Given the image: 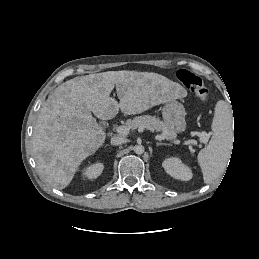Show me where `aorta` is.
<instances>
[{"label": "aorta", "instance_id": "762f6f07", "mask_svg": "<svg viewBox=\"0 0 259 259\" xmlns=\"http://www.w3.org/2000/svg\"><path fill=\"white\" fill-rule=\"evenodd\" d=\"M134 152L137 154V155H141L144 153V146L142 145H135L134 148H133Z\"/></svg>", "mask_w": 259, "mask_h": 259}]
</instances>
